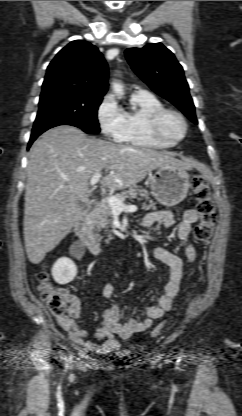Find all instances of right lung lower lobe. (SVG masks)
<instances>
[{
	"label": "right lung lower lobe",
	"mask_w": 242,
	"mask_h": 416,
	"mask_svg": "<svg viewBox=\"0 0 242 416\" xmlns=\"http://www.w3.org/2000/svg\"><path fill=\"white\" fill-rule=\"evenodd\" d=\"M46 131V130H45ZM44 131H41V132H35V133H32L31 134V137H30V141H29V143H28V149L30 148V146H31V144L33 143V141L41 134V133H43Z\"/></svg>",
	"instance_id": "1"
}]
</instances>
